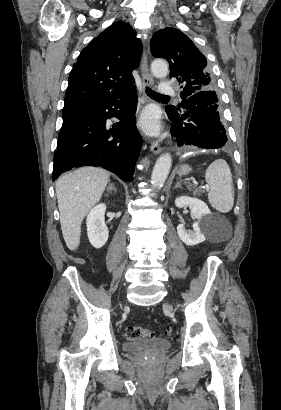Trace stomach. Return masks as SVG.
<instances>
[{"label": "stomach", "instance_id": "obj_1", "mask_svg": "<svg viewBox=\"0 0 281 410\" xmlns=\"http://www.w3.org/2000/svg\"><path fill=\"white\" fill-rule=\"evenodd\" d=\"M190 167L188 166V165H183V166H181V168H180V171H179V174L180 175H186V174H188L189 172H190Z\"/></svg>", "mask_w": 281, "mask_h": 410}]
</instances>
